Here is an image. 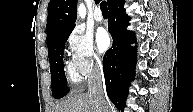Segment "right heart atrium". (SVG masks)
<instances>
[{
  "label": "right heart atrium",
  "instance_id": "obj_1",
  "mask_svg": "<svg viewBox=\"0 0 193 112\" xmlns=\"http://www.w3.org/2000/svg\"><path fill=\"white\" fill-rule=\"evenodd\" d=\"M71 66L79 77H88L102 69L91 35L82 27L73 28L67 37Z\"/></svg>",
  "mask_w": 193,
  "mask_h": 112
}]
</instances>
